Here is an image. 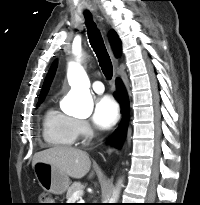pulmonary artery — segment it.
I'll return each instance as SVG.
<instances>
[{
  "mask_svg": "<svg viewBox=\"0 0 200 205\" xmlns=\"http://www.w3.org/2000/svg\"><path fill=\"white\" fill-rule=\"evenodd\" d=\"M92 88L93 90L98 93V94H101L104 92L105 88H104V85L101 81H95L93 82L92 84Z\"/></svg>",
  "mask_w": 200,
  "mask_h": 205,
  "instance_id": "obj_1",
  "label": "pulmonary artery"
}]
</instances>
